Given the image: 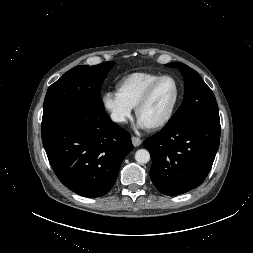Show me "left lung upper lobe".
I'll return each mask as SVG.
<instances>
[{
  "mask_svg": "<svg viewBox=\"0 0 253 253\" xmlns=\"http://www.w3.org/2000/svg\"><path fill=\"white\" fill-rule=\"evenodd\" d=\"M166 66L180 70L184 77L185 93L182 105L163 129H172L199 120L220 121L215 96L199 74L179 62L169 63Z\"/></svg>",
  "mask_w": 253,
  "mask_h": 253,
  "instance_id": "obj_1",
  "label": "left lung upper lobe"
}]
</instances>
